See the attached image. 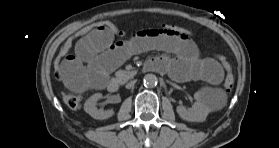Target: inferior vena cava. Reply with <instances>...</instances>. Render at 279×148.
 <instances>
[{"label": "inferior vena cava", "mask_w": 279, "mask_h": 148, "mask_svg": "<svg viewBox=\"0 0 279 148\" xmlns=\"http://www.w3.org/2000/svg\"><path fill=\"white\" fill-rule=\"evenodd\" d=\"M135 84V81H131L126 85V88L130 89L131 87H133Z\"/></svg>", "instance_id": "inferior-vena-cava-1"}]
</instances>
